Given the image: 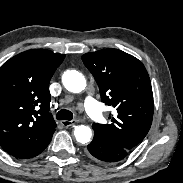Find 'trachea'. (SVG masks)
Wrapping results in <instances>:
<instances>
[{
    "label": "trachea",
    "instance_id": "obj_1",
    "mask_svg": "<svg viewBox=\"0 0 183 183\" xmlns=\"http://www.w3.org/2000/svg\"><path fill=\"white\" fill-rule=\"evenodd\" d=\"M56 119L57 120H67L70 121L73 119V113L69 110L62 109L57 112L56 114Z\"/></svg>",
    "mask_w": 183,
    "mask_h": 183
}]
</instances>
